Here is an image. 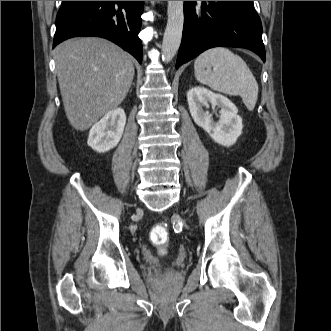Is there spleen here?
<instances>
[{"label":"spleen","instance_id":"3e777b00","mask_svg":"<svg viewBox=\"0 0 331 331\" xmlns=\"http://www.w3.org/2000/svg\"><path fill=\"white\" fill-rule=\"evenodd\" d=\"M195 78L211 89L241 96L252 111L258 98V84L245 61L228 48L215 47L200 54L194 62Z\"/></svg>","mask_w":331,"mask_h":331}]
</instances>
